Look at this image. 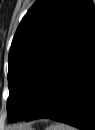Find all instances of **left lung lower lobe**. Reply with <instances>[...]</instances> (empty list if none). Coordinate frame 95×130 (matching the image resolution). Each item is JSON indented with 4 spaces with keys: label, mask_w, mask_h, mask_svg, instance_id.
<instances>
[{
    "label": "left lung lower lobe",
    "mask_w": 95,
    "mask_h": 130,
    "mask_svg": "<svg viewBox=\"0 0 95 130\" xmlns=\"http://www.w3.org/2000/svg\"><path fill=\"white\" fill-rule=\"evenodd\" d=\"M40 118L95 129V15L53 66L36 102L22 119Z\"/></svg>",
    "instance_id": "1"
}]
</instances>
